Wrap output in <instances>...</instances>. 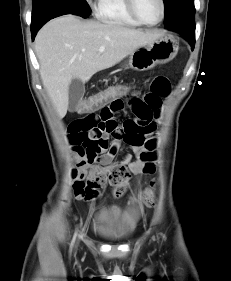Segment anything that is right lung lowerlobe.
Returning a JSON list of instances; mask_svg holds the SVG:
<instances>
[{
  "mask_svg": "<svg viewBox=\"0 0 231 281\" xmlns=\"http://www.w3.org/2000/svg\"><path fill=\"white\" fill-rule=\"evenodd\" d=\"M75 14L87 18L88 15L80 11L75 5L64 0H45L32 13L31 33L34 40L38 30L50 19L64 15Z\"/></svg>",
  "mask_w": 231,
  "mask_h": 281,
  "instance_id": "right-lung-lower-lobe-1",
  "label": "right lung lower lobe"
}]
</instances>
